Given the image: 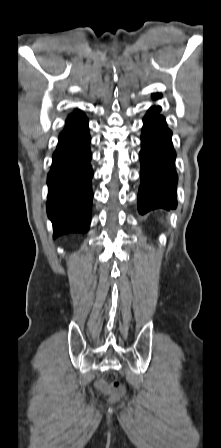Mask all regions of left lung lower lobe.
Returning <instances> with one entry per match:
<instances>
[{
	"label": "left lung lower lobe",
	"instance_id": "0a47b994",
	"mask_svg": "<svg viewBox=\"0 0 221 448\" xmlns=\"http://www.w3.org/2000/svg\"><path fill=\"white\" fill-rule=\"evenodd\" d=\"M161 94H153L155 99ZM161 107H151L143 122L140 151L141 183L138 193L140 214L157 208L174 209L177 206L175 158L171 136L165 118L159 115Z\"/></svg>",
	"mask_w": 221,
	"mask_h": 448
}]
</instances>
